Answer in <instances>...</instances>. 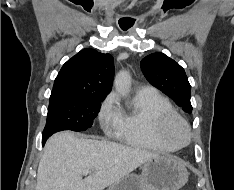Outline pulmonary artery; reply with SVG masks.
Listing matches in <instances>:
<instances>
[{"instance_id":"1","label":"pulmonary artery","mask_w":234,"mask_h":190,"mask_svg":"<svg viewBox=\"0 0 234 190\" xmlns=\"http://www.w3.org/2000/svg\"><path fill=\"white\" fill-rule=\"evenodd\" d=\"M154 90L151 86H143L140 92H148Z\"/></svg>"}]
</instances>
